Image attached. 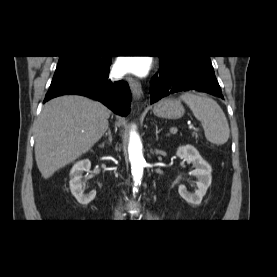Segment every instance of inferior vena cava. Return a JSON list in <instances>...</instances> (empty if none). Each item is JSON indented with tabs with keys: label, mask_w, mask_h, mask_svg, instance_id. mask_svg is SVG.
Listing matches in <instances>:
<instances>
[{
	"label": "inferior vena cava",
	"mask_w": 277,
	"mask_h": 277,
	"mask_svg": "<svg viewBox=\"0 0 277 277\" xmlns=\"http://www.w3.org/2000/svg\"><path fill=\"white\" fill-rule=\"evenodd\" d=\"M116 218L117 219H121V218H123V214H122V212L121 211H117V213H116Z\"/></svg>",
	"instance_id": "obj_1"
}]
</instances>
